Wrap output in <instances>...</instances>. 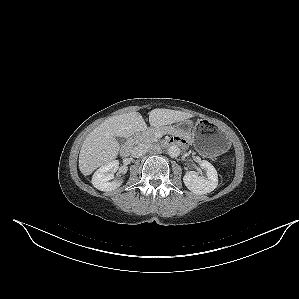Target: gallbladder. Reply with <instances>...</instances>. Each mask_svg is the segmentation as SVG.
<instances>
[{
    "label": "gallbladder",
    "instance_id": "bac80fb5",
    "mask_svg": "<svg viewBox=\"0 0 299 299\" xmlns=\"http://www.w3.org/2000/svg\"><path fill=\"white\" fill-rule=\"evenodd\" d=\"M116 140L119 143V145H123L125 143V139L122 137H116Z\"/></svg>",
    "mask_w": 299,
    "mask_h": 299
}]
</instances>
